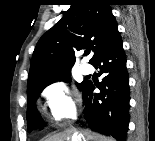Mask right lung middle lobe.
<instances>
[{
	"mask_svg": "<svg viewBox=\"0 0 155 141\" xmlns=\"http://www.w3.org/2000/svg\"><path fill=\"white\" fill-rule=\"evenodd\" d=\"M71 79L70 73H62L55 76H52L50 78H46L42 80L41 82H38L34 84L33 86L29 87L27 89V99H28V108H27V130L28 132H31L32 130L42 127V119L40 118L36 108H35V102L39 96V94L42 92V90L48 86L49 84H52L57 81H66L69 82ZM86 81H83L78 85L79 89H82Z\"/></svg>",
	"mask_w": 155,
	"mask_h": 141,
	"instance_id": "right-lung-middle-lobe-1",
	"label": "right lung middle lobe"
}]
</instances>
